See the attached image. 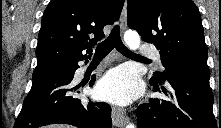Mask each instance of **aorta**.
Instances as JSON below:
<instances>
[{"instance_id": "1", "label": "aorta", "mask_w": 221, "mask_h": 128, "mask_svg": "<svg viewBox=\"0 0 221 128\" xmlns=\"http://www.w3.org/2000/svg\"><path fill=\"white\" fill-rule=\"evenodd\" d=\"M124 41L131 50H136L140 46V36L136 31L128 30L124 34ZM126 128H135L134 124H128Z\"/></svg>"}]
</instances>
